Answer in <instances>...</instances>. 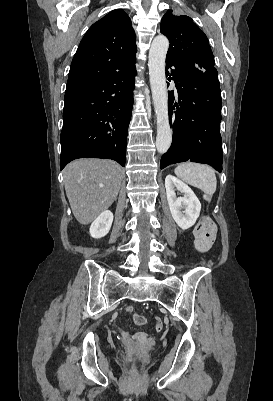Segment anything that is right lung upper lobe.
<instances>
[{
    "label": "right lung upper lobe",
    "instance_id": "right-lung-upper-lobe-1",
    "mask_svg": "<svg viewBox=\"0 0 273 401\" xmlns=\"http://www.w3.org/2000/svg\"><path fill=\"white\" fill-rule=\"evenodd\" d=\"M136 38L129 16L116 9L84 35L71 63L65 95L96 84L111 71L136 61Z\"/></svg>",
    "mask_w": 273,
    "mask_h": 401
}]
</instances>
